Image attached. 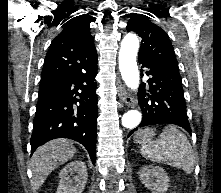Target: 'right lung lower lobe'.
Returning a JSON list of instances; mask_svg holds the SVG:
<instances>
[{
    "instance_id": "1",
    "label": "right lung lower lobe",
    "mask_w": 221,
    "mask_h": 193,
    "mask_svg": "<svg viewBox=\"0 0 221 193\" xmlns=\"http://www.w3.org/2000/svg\"><path fill=\"white\" fill-rule=\"evenodd\" d=\"M96 72L97 62L85 72L40 85L30 141L32 153L52 139L69 138L84 145L95 164Z\"/></svg>"
}]
</instances>
